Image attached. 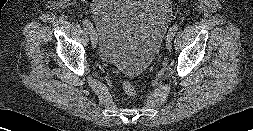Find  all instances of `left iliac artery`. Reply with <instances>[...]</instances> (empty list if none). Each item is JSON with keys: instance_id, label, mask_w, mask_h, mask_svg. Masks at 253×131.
<instances>
[{"instance_id": "obj_1", "label": "left iliac artery", "mask_w": 253, "mask_h": 131, "mask_svg": "<svg viewBox=\"0 0 253 131\" xmlns=\"http://www.w3.org/2000/svg\"><path fill=\"white\" fill-rule=\"evenodd\" d=\"M178 28H179L178 24H175L170 28L169 32L174 35L177 32Z\"/></svg>"}]
</instances>
